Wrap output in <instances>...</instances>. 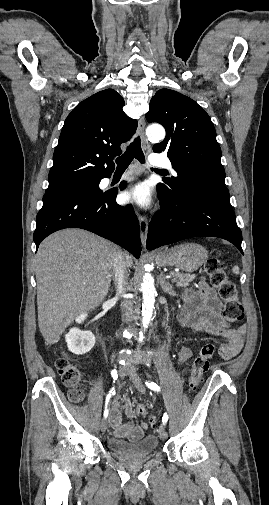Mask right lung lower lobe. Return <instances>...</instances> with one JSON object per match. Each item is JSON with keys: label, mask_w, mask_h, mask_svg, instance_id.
I'll list each match as a JSON object with an SVG mask.
<instances>
[{"label": "right lung lower lobe", "mask_w": 269, "mask_h": 505, "mask_svg": "<svg viewBox=\"0 0 269 505\" xmlns=\"http://www.w3.org/2000/svg\"><path fill=\"white\" fill-rule=\"evenodd\" d=\"M124 186L123 182L121 188ZM116 195L117 192L98 194L82 189L46 192L33 235L36 247L55 231L82 228L113 241L139 258L141 240L138 219L130 206L123 207L116 203Z\"/></svg>", "instance_id": "obj_1"}]
</instances>
